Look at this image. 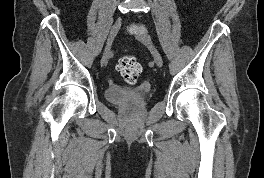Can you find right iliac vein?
<instances>
[{
    "label": "right iliac vein",
    "instance_id": "right-iliac-vein-1",
    "mask_svg": "<svg viewBox=\"0 0 264 178\" xmlns=\"http://www.w3.org/2000/svg\"><path fill=\"white\" fill-rule=\"evenodd\" d=\"M120 27H121V19L119 18L114 23V25L112 26L111 31L109 33L107 44H106V47H105V50H104V53L102 56L101 65H104L107 62V60L109 58V54H110V47L112 45L114 38L118 34Z\"/></svg>",
    "mask_w": 264,
    "mask_h": 178
}]
</instances>
